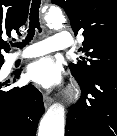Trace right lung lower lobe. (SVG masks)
I'll return each instance as SVG.
<instances>
[{"label":"right lung lower lobe","mask_w":117,"mask_h":136,"mask_svg":"<svg viewBox=\"0 0 117 136\" xmlns=\"http://www.w3.org/2000/svg\"><path fill=\"white\" fill-rule=\"evenodd\" d=\"M20 73H16L13 82ZM9 83L10 80L0 81V135L35 136L44 113L42 95L32 84L8 89Z\"/></svg>","instance_id":"98d812e1"}]
</instances>
